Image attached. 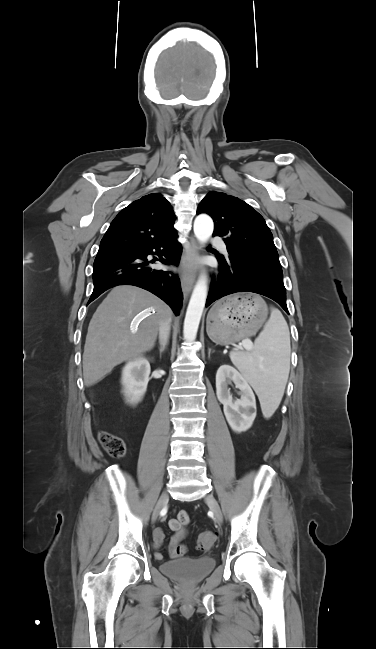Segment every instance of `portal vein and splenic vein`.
Returning a JSON list of instances; mask_svg holds the SVG:
<instances>
[{
	"mask_svg": "<svg viewBox=\"0 0 376 649\" xmlns=\"http://www.w3.org/2000/svg\"><path fill=\"white\" fill-rule=\"evenodd\" d=\"M242 346L246 349H250L252 347V343L249 339H246L242 342Z\"/></svg>",
	"mask_w": 376,
	"mask_h": 649,
	"instance_id": "1",
	"label": "portal vein and splenic vein"
}]
</instances>
